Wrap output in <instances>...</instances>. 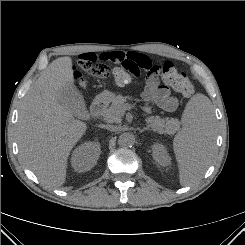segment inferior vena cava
<instances>
[{
  "instance_id": "602c4592",
  "label": "inferior vena cava",
  "mask_w": 245,
  "mask_h": 245,
  "mask_svg": "<svg viewBox=\"0 0 245 245\" xmlns=\"http://www.w3.org/2000/svg\"><path fill=\"white\" fill-rule=\"evenodd\" d=\"M104 128L113 132L117 130V127L114 125H105Z\"/></svg>"
}]
</instances>
